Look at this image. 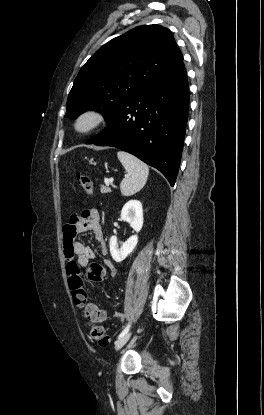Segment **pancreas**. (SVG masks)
I'll use <instances>...</instances> for the list:
<instances>
[{
  "label": "pancreas",
  "mask_w": 264,
  "mask_h": 415,
  "mask_svg": "<svg viewBox=\"0 0 264 415\" xmlns=\"http://www.w3.org/2000/svg\"><path fill=\"white\" fill-rule=\"evenodd\" d=\"M111 189L106 186H101V193H110Z\"/></svg>",
  "instance_id": "1"
}]
</instances>
